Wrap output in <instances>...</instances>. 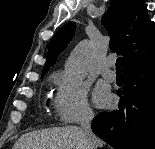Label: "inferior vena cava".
Masks as SVG:
<instances>
[{
	"instance_id": "obj_1",
	"label": "inferior vena cava",
	"mask_w": 155,
	"mask_h": 149,
	"mask_svg": "<svg viewBox=\"0 0 155 149\" xmlns=\"http://www.w3.org/2000/svg\"><path fill=\"white\" fill-rule=\"evenodd\" d=\"M93 117H94L93 113L85 112L83 113L80 121L81 129L84 131L87 138L88 149H97L98 147L97 137L92 133L90 126Z\"/></svg>"
}]
</instances>
